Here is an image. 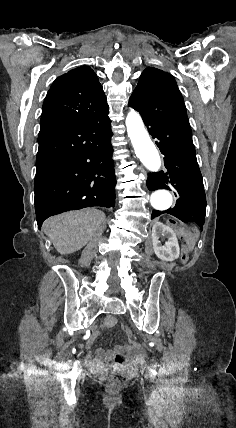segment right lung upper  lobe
<instances>
[{
    "label": "right lung upper lobe",
    "mask_w": 236,
    "mask_h": 428,
    "mask_svg": "<svg viewBox=\"0 0 236 428\" xmlns=\"http://www.w3.org/2000/svg\"><path fill=\"white\" fill-rule=\"evenodd\" d=\"M103 88L95 72L81 66L59 76L42 107L39 134L77 125L108 112Z\"/></svg>",
    "instance_id": "obj_1"
}]
</instances>
